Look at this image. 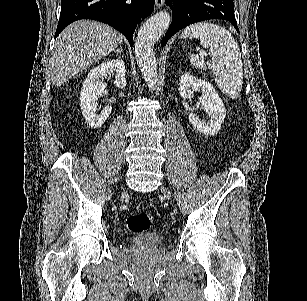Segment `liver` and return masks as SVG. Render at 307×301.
Segmentation results:
<instances>
[{
  "label": "liver",
  "mask_w": 307,
  "mask_h": 301,
  "mask_svg": "<svg viewBox=\"0 0 307 301\" xmlns=\"http://www.w3.org/2000/svg\"><path fill=\"white\" fill-rule=\"evenodd\" d=\"M123 34L97 20H75L57 36L51 56V80L62 86L77 72L98 62L122 42Z\"/></svg>",
  "instance_id": "liver-1"
}]
</instances>
